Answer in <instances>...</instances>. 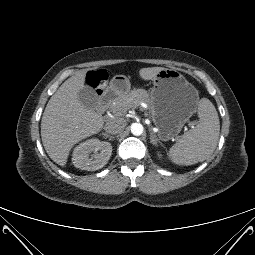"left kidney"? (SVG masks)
I'll list each match as a JSON object with an SVG mask.
<instances>
[{"mask_svg":"<svg viewBox=\"0 0 255 255\" xmlns=\"http://www.w3.org/2000/svg\"><path fill=\"white\" fill-rule=\"evenodd\" d=\"M157 156H158L159 159L162 158V154H160V153H158Z\"/></svg>","mask_w":255,"mask_h":255,"instance_id":"1","label":"left kidney"}]
</instances>
